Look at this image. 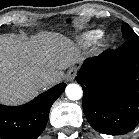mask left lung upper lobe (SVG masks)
<instances>
[{
    "label": "left lung upper lobe",
    "instance_id": "5c2ea615",
    "mask_svg": "<svg viewBox=\"0 0 139 139\" xmlns=\"http://www.w3.org/2000/svg\"><path fill=\"white\" fill-rule=\"evenodd\" d=\"M122 33L125 40L137 39V38L139 39V37L136 35V33L132 30V28L127 23H123Z\"/></svg>",
    "mask_w": 139,
    "mask_h": 139
}]
</instances>
